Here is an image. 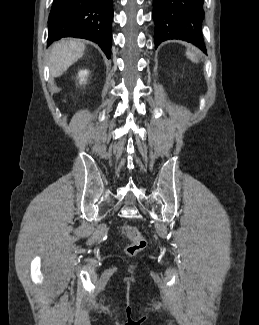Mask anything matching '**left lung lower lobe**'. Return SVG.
Returning a JSON list of instances; mask_svg holds the SVG:
<instances>
[{"label": "left lung lower lobe", "mask_w": 259, "mask_h": 325, "mask_svg": "<svg viewBox=\"0 0 259 325\" xmlns=\"http://www.w3.org/2000/svg\"><path fill=\"white\" fill-rule=\"evenodd\" d=\"M204 0H153L156 47L165 40L179 39L206 52L202 34Z\"/></svg>", "instance_id": "1"}]
</instances>
